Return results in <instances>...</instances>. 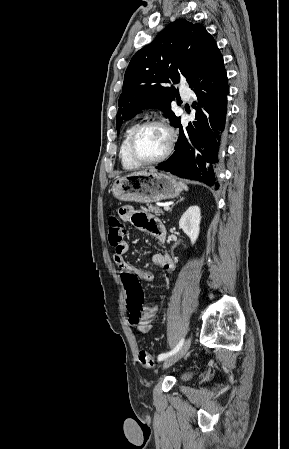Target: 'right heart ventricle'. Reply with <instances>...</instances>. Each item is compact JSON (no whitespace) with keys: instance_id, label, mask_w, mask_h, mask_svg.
Masks as SVG:
<instances>
[{"instance_id":"1","label":"right heart ventricle","mask_w":289,"mask_h":449,"mask_svg":"<svg viewBox=\"0 0 289 449\" xmlns=\"http://www.w3.org/2000/svg\"><path fill=\"white\" fill-rule=\"evenodd\" d=\"M137 124H131L125 131L123 140L120 146V159L123 167L125 169H136L140 165L137 164L130 156L129 152V139Z\"/></svg>"}]
</instances>
